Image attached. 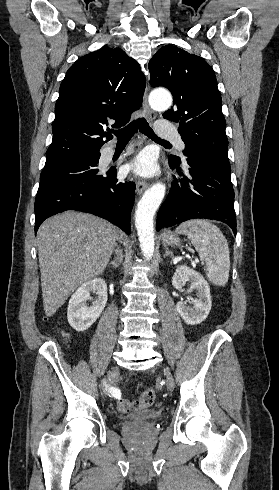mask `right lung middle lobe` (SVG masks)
Listing matches in <instances>:
<instances>
[{"instance_id": "right-lung-middle-lobe-1", "label": "right lung middle lobe", "mask_w": 279, "mask_h": 490, "mask_svg": "<svg viewBox=\"0 0 279 490\" xmlns=\"http://www.w3.org/2000/svg\"><path fill=\"white\" fill-rule=\"evenodd\" d=\"M99 157L100 156L84 157L45 164L40 175V185L58 182L73 177L95 175L99 172L96 168Z\"/></svg>"}]
</instances>
